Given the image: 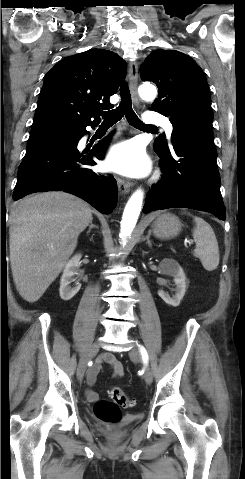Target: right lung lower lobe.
Instances as JSON below:
<instances>
[{"mask_svg": "<svg viewBox=\"0 0 245 479\" xmlns=\"http://www.w3.org/2000/svg\"><path fill=\"white\" fill-rule=\"evenodd\" d=\"M86 127L56 133L27 146L18 170L15 201L34 192L64 191L82 198L101 213L112 212L118 197L116 180L87 168L96 164L95 158H104L108 138L89 153H81L77 144L87 133Z\"/></svg>", "mask_w": 245, "mask_h": 479, "instance_id": "1", "label": "right lung lower lobe"}]
</instances>
